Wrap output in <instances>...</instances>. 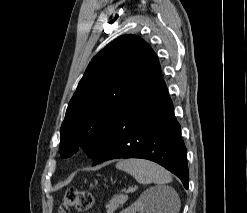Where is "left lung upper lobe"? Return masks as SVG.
I'll return each mask as SVG.
<instances>
[{"label":"left lung upper lobe","instance_id":"5c2ea615","mask_svg":"<svg viewBox=\"0 0 247 213\" xmlns=\"http://www.w3.org/2000/svg\"><path fill=\"white\" fill-rule=\"evenodd\" d=\"M158 58L140 37H118L95 55L69 102L61 126L60 154L79 147L94 159L123 109L137 94Z\"/></svg>","mask_w":247,"mask_h":213}]
</instances>
